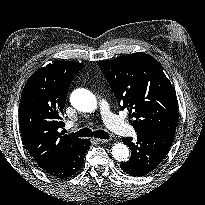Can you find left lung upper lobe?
<instances>
[{
    "label": "left lung upper lobe",
    "mask_w": 205,
    "mask_h": 205,
    "mask_svg": "<svg viewBox=\"0 0 205 205\" xmlns=\"http://www.w3.org/2000/svg\"><path fill=\"white\" fill-rule=\"evenodd\" d=\"M121 109L129 111V122L137 135L175 131L178 101L162 66L138 52L98 62Z\"/></svg>",
    "instance_id": "obj_1"
}]
</instances>
